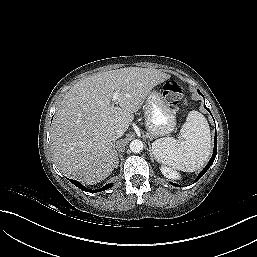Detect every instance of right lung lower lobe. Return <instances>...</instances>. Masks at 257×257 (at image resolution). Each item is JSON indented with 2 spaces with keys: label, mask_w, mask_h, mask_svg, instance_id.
Listing matches in <instances>:
<instances>
[{
  "label": "right lung lower lobe",
  "mask_w": 257,
  "mask_h": 257,
  "mask_svg": "<svg viewBox=\"0 0 257 257\" xmlns=\"http://www.w3.org/2000/svg\"><path fill=\"white\" fill-rule=\"evenodd\" d=\"M75 186H77L78 188H80L81 190L83 191H86V192H91V193H97V192H100V191H105L107 189H109L113 183H110L108 185H105L103 188L101 189H95V190H91V189H87L85 188L81 183H79L78 181L76 180H70Z\"/></svg>",
  "instance_id": "98d812e1"
}]
</instances>
